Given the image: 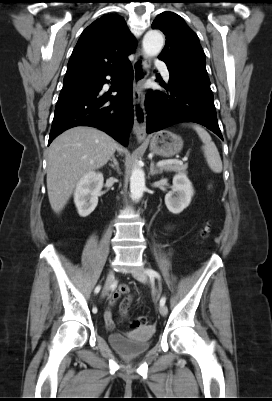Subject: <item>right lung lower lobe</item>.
I'll return each mask as SVG.
<instances>
[{
	"label": "right lung lower lobe",
	"instance_id": "1",
	"mask_svg": "<svg viewBox=\"0 0 272 401\" xmlns=\"http://www.w3.org/2000/svg\"><path fill=\"white\" fill-rule=\"evenodd\" d=\"M107 75L117 80L116 96L102 91L103 85L109 82ZM132 83L133 68L127 59L96 80L61 91L48 144L71 127L91 126L127 146L134 118Z\"/></svg>",
	"mask_w": 272,
	"mask_h": 401
}]
</instances>
